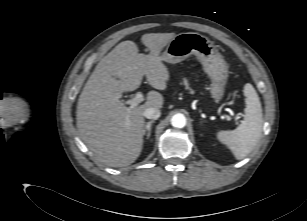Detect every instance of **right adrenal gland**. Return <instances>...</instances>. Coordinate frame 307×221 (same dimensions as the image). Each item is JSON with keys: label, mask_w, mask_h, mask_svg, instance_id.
<instances>
[{"label": "right adrenal gland", "mask_w": 307, "mask_h": 221, "mask_svg": "<svg viewBox=\"0 0 307 221\" xmlns=\"http://www.w3.org/2000/svg\"><path fill=\"white\" fill-rule=\"evenodd\" d=\"M154 122H155L154 120H151V121L147 122L146 125H145L144 131H143V135H146L147 139L150 138V135H151V125Z\"/></svg>", "instance_id": "obj_1"}]
</instances>
